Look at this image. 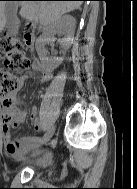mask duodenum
Here are the masks:
<instances>
[{"label":"duodenum","instance_id":"1","mask_svg":"<svg viewBox=\"0 0 137 189\" xmlns=\"http://www.w3.org/2000/svg\"><path fill=\"white\" fill-rule=\"evenodd\" d=\"M24 40V44L28 49H32L34 47V41H35V37L33 36V34L27 32L24 34L23 37Z\"/></svg>","mask_w":137,"mask_h":189}]
</instances>
